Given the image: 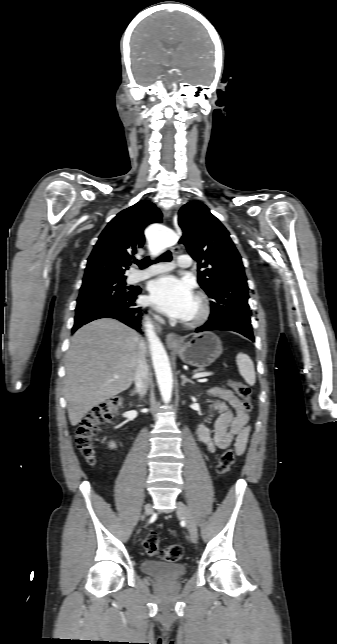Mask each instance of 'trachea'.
I'll list each match as a JSON object with an SVG mask.
<instances>
[{"mask_svg":"<svg viewBox=\"0 0 337 644\" xmlns=\"http://www.w3.org/2000/svg\"><path fill=\"white\" fill-rule=\"evenodd\" d=\"M171 259H172V254H171V252H170V251H167V252H166V253H164L162 256H160V257L156 260V262H158V261H171ZM153 262H154V261H151V260L149 259V257H146V258H144V259H142V260H136V261H134V263H135V264H137L140 268H146V267H148L149 265H151Z\"/></svg>","mask_w":337,"mask_h":644,"instance_id":"trachea-1","label":"trachea"}]
</instances>
